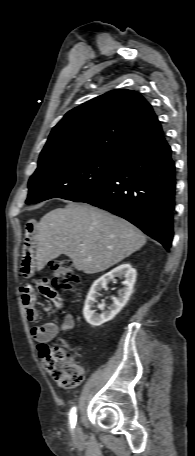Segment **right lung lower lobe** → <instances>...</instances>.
<instances>
[{"label":"right lung lower lobe","instance_id":"obj_1","mask_svg":"<svg viewBox=\"0 0 195 456\" xmlns=\"http://www.w3.org/2000/svg\"><path fill=\"white\" fill-rule=\"evenodd\" d=\"M175 186V163L167 144L122 162L111 178L72 201L125 218L169 250L174 235Z\"/></svg>","mask_w":195,"mask_h":456}]
</instances>
